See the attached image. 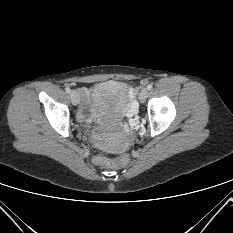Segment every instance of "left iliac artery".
Here are the masks:
<instances>
[{"mask_svg": "<svg viewBox=\"0 0 233 233\" xmlns=\"http://www.w3.org/2000/svg\"><path fill=\"white\" fill-rule=\"evenodd\" d=\"M153 88V85L152 84H149L148 86H147V89L148 90H151Z\"/></svg>", "mask_w": 233, "mask_h": 233, "instance_id": "left-iliac-artery-1", "label": "left iliac artery"}]
</instances>
